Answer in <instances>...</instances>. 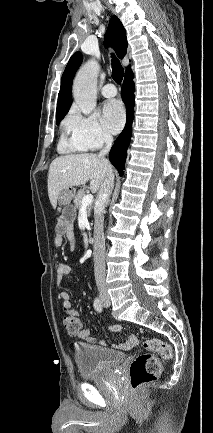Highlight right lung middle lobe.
I'll return each mask as SVG.
<instances>
[{
  "label": "right lung middle lobe",
  "mask_w": 213,
  "mask_h": 433,
  "mask_svg": "<svg viewBox=\"0 0 213 433\" xmlns=\"http://www.w3.org/2000/svg\"><path fill=\"white\" fill-rule=\"evenodd\" d=\"M60 121H61V120H57V121H56L57 125L60 123Z\"/></svg>",
  "instance_id": "obj_1"
}]
</instances>
